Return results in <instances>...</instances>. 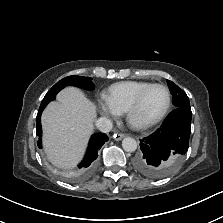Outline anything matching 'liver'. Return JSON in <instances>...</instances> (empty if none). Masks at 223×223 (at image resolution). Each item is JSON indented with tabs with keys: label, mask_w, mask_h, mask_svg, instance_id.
<instances>
[{
	"label": "liver",
	"mask_w": 223,
	"mask_h": 223,
	"mask_svg": "<svg viewBox=\"0 0 223 223\" xmlns=\"http://www.w3.org/2000/svg\"><path fill=\"white\" fill-rule=\"evenodd\" d=\"M96 106L75 87H66L42 114L43 146L48 160L59 168H73L82 159Z\"/></svg>",
	"instance_id": "liver-1"
}]
</instances>
